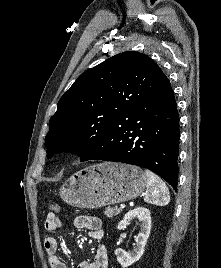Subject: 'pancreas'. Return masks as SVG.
I'll return each mask as SVG.
<instances>
[{
    "mask_svg": "<svg viewBox=\"0 0 221 268\" xmlns=\"http://www.w3.org/2000/svg\"><path fill=\"white\" fill-rule=\"evenodd\" d=\"M120 212H121V209L118 208L117 206H115V207H112V208H111V207H107V208L105 209L104 214H105L107 217L111 218V217H113V216L118 215Z\"/></svg>",
    "mask_w": 221,
    "mask_h": 268,
    "instance_id": "obj_1",
    "label": "pancreas"
}]
</instances>
